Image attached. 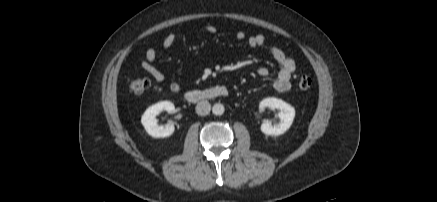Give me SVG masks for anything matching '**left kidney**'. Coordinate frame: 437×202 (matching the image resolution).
Masks as SVG:
<instances>
[{"instance_id": "obj_1", "label": "left kidney", "mask_w": 437, "mask_h": 202, "mask_svg": "<svg viewBox=\"0 0 437 202\" xmlns=\"http://www.w3.org/2000/svg\"><path fill=\"white\" fill-rule=\"evenodd\" d=\"M265 108L277 109L279 123L272 125L270 121H264L261 125V131L266 135L278 136L284 134L292 125L295 117V109L288 103L278 98H265L259 104V109Z\"/></svg>"}]
</instances>
